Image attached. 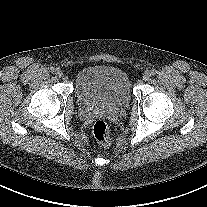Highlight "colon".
Wrapping results in <instances>:
<instances>
[{
    "instance_id": "5ec220e1",
    "label": "colon",
    "mask_w": 207,
    "mask_h": 207,
    "mask_svg": "<svg viewBox=\"0 0 207 207\" xmlns=\"http://www.w3.org/2000/svg\"><path fill=\"white\" fill-rule=\"evenodd\" d=\"M93 135L95 139L101 144L108 146L110 145L111 138L109 128L105 120L98 119L93 125Z\"/></svg>"
}]
</instances>
